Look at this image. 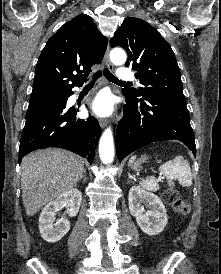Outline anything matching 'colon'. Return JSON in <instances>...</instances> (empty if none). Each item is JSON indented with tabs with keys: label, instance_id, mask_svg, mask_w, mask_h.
Here are the masks:
<instances>
[{
	"label": "colon",
	"instance_id": "obj_1",
	"mask_svg": "<svg viewBox=\"0 0 221 274\" xmlns=\"http://www.w3.org/2000/svg\"><path fill=\"white\" fill-rule=\"evenodd\" d=\"M162 197L165 203L171 206L177 214L186 216L189 213V202L180 196L176 188L166 189L163 192Z\"/></svg>",
	"mask_w": 221,
	"mask_h": 274
}]
</instances>
